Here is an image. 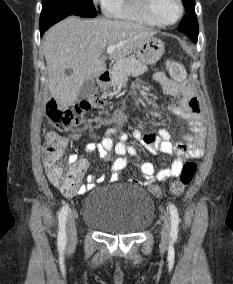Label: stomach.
Returning <instances> with one entry per match:
<instances>
[{"label": "stomach", "mask_w": 233, "mask_h": 284, "mask_svg": "<svg viewBox=\"0 0 233 284\" xmlns=\"http://www.w3.org/2000/svg\"><path fill=\"white\" fill-rule=\"evenodd\" d=\"M135 53L143 64H154L164 53V43L160 39L150 37Z\"/></svg>", "instance_id": "1"}]
</instances>
